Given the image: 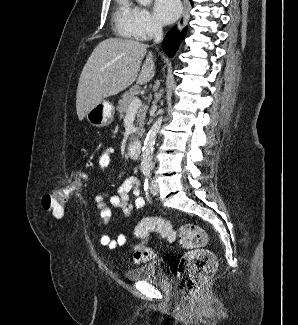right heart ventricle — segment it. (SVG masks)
<instances>
[{
	"mask_svg": "<svg viewBox=\"0 0 298 325\" xmlns=\"http://www.w3.org/2000/svg\"><path fill=\"white\" fill-rule=\"evenodd\" d=\"M135 9L129 1L121 0L113 12V29L115 37H130L128 28L135 23Z\"/></svg>",
	"mask_w": 298,
	"mask_h": 325,
	"instance_id": "right-heart-ventricle-1",
	"label": "right heart ventricle"
}]
</instances>
